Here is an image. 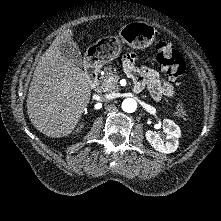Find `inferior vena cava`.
<instances>
[{"label":"inferior vena cava","mask_w":221,"mask_h":221,"mask_svg":"<svg viewBox=\"0 0 221 221\" xmlns=\"http://www.w3.org/2000/svg\"><path fill=\"white\" fill-rule=\"evenodd\" d=\"M112 98H113V95H112V94H105V95H102V96H101V99H102L103 101H110V100H112Z\"/></svg>","instance_id":"obj_1"}]
</instances>
